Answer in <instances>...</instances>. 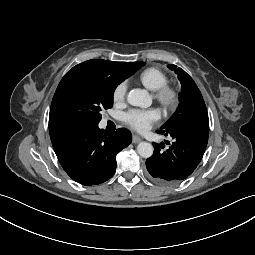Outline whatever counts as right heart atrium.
I'll return each mask as SVG.
<instances>
[{
	"label": "right heart atrium",
	"instance_id": "d8ad5b80",
	"mask_svg": "<svg viewBox=\"0 0 255 255\" xmlns=\"http://www.w3.org/2000/svg\"><path fill=\"white\" fill-rule=\"evenodd\" d=\"M127 92V84L120 82L113 90L112 98L114 103L121 104L124 102Z\"/></svg>",
	"mask_w": 255,
	"mask_h": 255
}]
</instances>
